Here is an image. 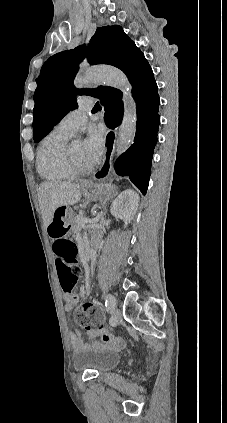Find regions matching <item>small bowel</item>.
<instances>
[{
	"instance_id": "1",
	"label": "small bowel",
	"mask_w": 227,
	"mask_h": 423,
	"mask_svg": "<svg viewBox=\"0 0 227 423\" xmlns=\"http://www.w3.org/2000/svg\"><path fill=\"white\" fill-rule=\"evenodd\" d=\"M56 221H54L50 227H49V234H50V230L53 227V225L55 224ZM51 237V235H50ZM52 238V237H51ZM53 240V238H52ZM63 299L65 302V311L68 313H71L75 307V305H77V303L79 302V296L76 294H63ZM87 335L91 338H97L100 337L104 342H111L113 339L110 337V335L105 332L104 330H89L87 332ZM70 338L72 341V345L74 350L76 351H80L86 348V345L83 343L80 334L78 331L72 332L70 334ZM117 343H119V341H116Z\"/></svg>"
}]
</instances>
